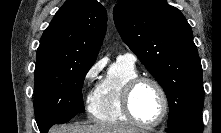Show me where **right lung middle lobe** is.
<instances>
[{
  "label": "right lung middle lobe",
  "mask_w": 221,
  "mask_h": 133,
  "mask_svg": "<svg viewBox=\"0 0 221 133\" xmlns=\"http://www.w3.org/2000/svg\"><path fill=\"white\" fill-rule=\"evenodd\" d=\"M94 62L35 71L34 112L39 130L68 122L85 111L82 86Z\"/></svg>",
  "instance_id": "dd1d6c3e"
}]
</instances>
